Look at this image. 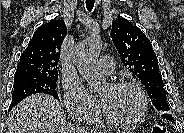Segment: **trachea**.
Returning <instances> with one entry per match:
<instances>
[{
  "label": "trachea",
  "mask_w": 184,
  "mask_h": 133,
  "mask_svg": "<svg viewBox=\"0 0 184 133\" xmlns=\"http://www.w3.org/2000/svg\"><path fill=\"white\" fill-rule=\"evenodd\" d=\"M94 7V0H86V8L88 12H91Z\"/></svg>",
  "instance_id": "obj_1"
}]
</instances>
